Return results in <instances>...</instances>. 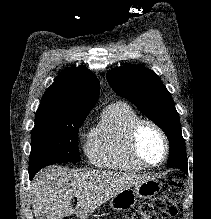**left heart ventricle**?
Here are the masks:
<instances>
[{"instance_id": "left-heart-ventricle-1", "label": "left heart ventricle", "mask_w": 211, "mask_h": 219, "mask_svg": "<svg viewBox=\"0 0 211 219\" xmlns=\"http://www.w3.org/2000/svg\"><path fill=\"white\" fill-rule=\"evenodd\" d=\"M138 147L142 158L150 164L158 163L164 152L161 136L150 126H143L138 136Z\"/></svg>"}]
</instances>
